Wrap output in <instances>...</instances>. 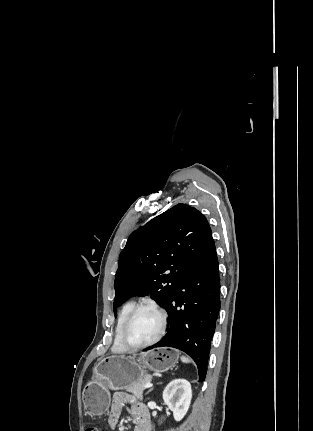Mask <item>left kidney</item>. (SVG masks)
<instances>
[{"label":"left kidney","mask_w":313,"mask_h":431,"mask_svg":"<svg viewBox=\"0 0 313 431\" xmlns=\"http://www.w3.org/2000/svg\"><path fill=\"white\" fill-rule=\"evenodd\" d=\"M191 399V385L185 379L173 380L166 386L163 392V400L173 412L176 421L184 418L189 409Z\"/></svg>","instance_id":"5707ae66"}]
</instances>
